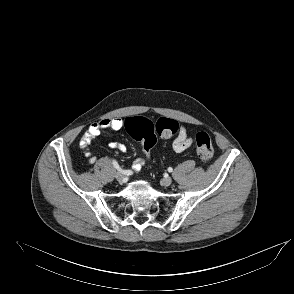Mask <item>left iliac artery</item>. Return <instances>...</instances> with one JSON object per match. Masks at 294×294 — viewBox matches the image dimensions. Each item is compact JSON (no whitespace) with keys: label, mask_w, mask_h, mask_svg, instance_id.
<instances>
[{"label":"left iliac artery","mask_w":294,"mask_h":294,"mask_svg":"<svg viewBox=\"0 0 294 294\" xmlns=\"http://www.w3.org/2000/svg\"><path fill=\"white\" fill-rule=\"evenodd\" d=\"M168 173H173V168L169 167L168 168Z\"/></svg>","instance_id":"1"}]
</instances>
